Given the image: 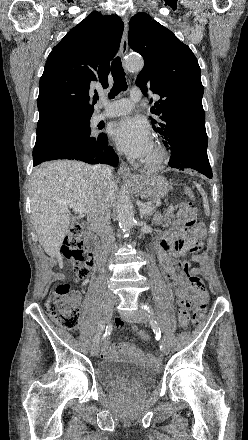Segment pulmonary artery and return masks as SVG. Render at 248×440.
Listing matches in <instances>:
<instances>
[{
    "instance_id": "pulmonary-artery-1",
    "label": "pulmonary artery",
    "mask_w": 248,
    "mask_h": 440,
    "mask_svg": "<svg viewBox=\"0 0 248 440\" xmlns=\"http://www.w3.org/2000/svg\"><path fill=\"white\" fill-rule=\"evenodd\" d=\"M141 98L142 92L138 88L132 89L129 98H123L111 103L102 98L100 102L102 110L94 113L92 116V121L94 123H99L106 118L124 115L130 112L133 107V103L139 101Z\"/></svg>"
}]
</instances>
